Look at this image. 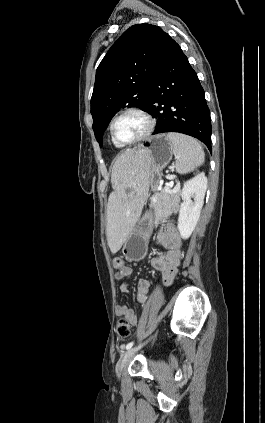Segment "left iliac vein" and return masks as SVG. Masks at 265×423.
I'll return each mask as SVG.
<instances>
[{"label":"left iliac vein","mask_w":265,"mask_h":423,"mask_svg":"<svg viewBox=\"0 0 265 423\" xmlns=\"http://www.w3.org/2000/svg\"><path fill=\"white\" fill-rule=\"evenodd\" d=\"M147 343L144 342L143 344H140L137 347H133L128 349L126 352H124L121 357L119 358L116 367H115V371H116V375L117 377H120L122 374V371L124 369V367L126 366V364L129 362V360L134 356V354L145 344Z\"/></svg>","instance_id":"left-iliac-vein-1"}]
</instances>
